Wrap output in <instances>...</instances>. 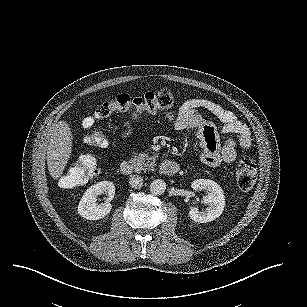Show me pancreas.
I'll list each match as a JSON object with an SVG mask.
<instances>
[{"label": "pancreas", "mask_w": 307, "mask_h": 307, "mask_svg": "<svg viewBox=\"0 0 307 307\" xmlns=\"http://www.w3.org/2000/svg\"><path fill=\"white\" fill-rule=\"evenodd\" d=\"M158 155H151L147 153H139L134 155L132 162L136 166V171L152 170L156 165V158Z\"/></svg>", "instance_id": "pancreas-1"}]
</instances>
